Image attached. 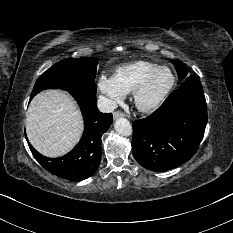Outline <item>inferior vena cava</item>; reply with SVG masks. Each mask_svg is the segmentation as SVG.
Masks as SVG:
<instances>
[{
    "instance_id": "1",
    "label": "inferior vena cava",
    "mask_w": 233,
    "mask_h": 233,
    "mask_svg": "<svg viewBox=\"0 0 233 233\" xmlns=\"http://www.w3.org/2000/svg\"><path fill=\"white\" fill-rule=\"evenodd\" d=\"M97 107L100 112L111 113L117 108V104L109 98L100 96L97 101Z\"/></svg>"
}]
</instances>
